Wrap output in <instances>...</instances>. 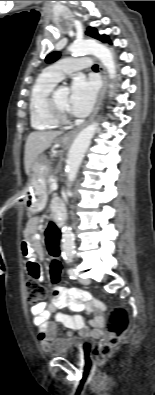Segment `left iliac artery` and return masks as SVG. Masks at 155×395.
Returning a JSON list of instances; mask_svg holds the SVG:
<instances>
[{
	"instance_id": "1",
	"label": "left iliac artery",
	"mask_w": 155,
	"mask_h": 395,
	"mask_svg": "<svg viewBox=\"0 0 155 395\" xmlns=\"http://www.w3.org/2000/svg\"><path fill=\"white\" fill-rule=\"evenodd\" d=\"M67 262L70 263V262H72V260L69 259ZM68 274H69V277H70L71 279H77L78 273H77V270H76V269H74V268H69V269H68Z\"/></svg>"
}]
</instances>
